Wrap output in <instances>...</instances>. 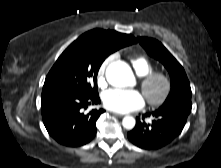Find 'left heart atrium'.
Masks as SVG:
<instances>
[{
	"label": "left heart atrium",
	"mask_w": 221,
	"mask_h": 168,
	"mask_svg": "<svg viewBox=\"0 0 221 168\" xmlns=\"http://www.w3.org/2000/svg\"><path fill=\"white\" fill-rule=\"evenodd\" d=\"M105 108L113 112L128 113L141 109L144 104L143 95L137 90L113 88L102 94Z\"/></svg>",
	"instance_id": "1"
}]
</instances>
